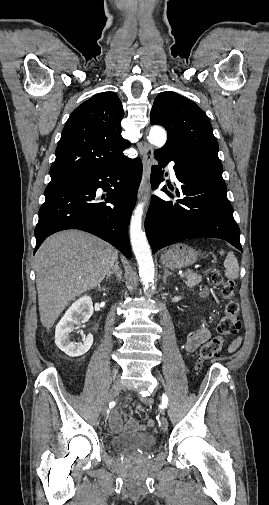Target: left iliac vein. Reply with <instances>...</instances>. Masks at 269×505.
Instances as JSON below:
<instances>
[{"label": "left iliac vein", "instance_id": "4c4485c4", "mask_svg": "<svg viewBox=\"0 0 269 505\" xmlns=\"http://www.w3.org/2000/svg\"><path fill=\"white\" fill-rule=\"evenodd\" d=\"M144 400L146 402V404H145L146 407H148V408L152 407L153 404H152V398L151 397H147ZM159 423H160V427H161L162 431H164V432L167 431V429H168V420H167V418L164 415L161 416Z\"/></svg>", "mask_w": 269, "mask_h": 505}]
</instances>
